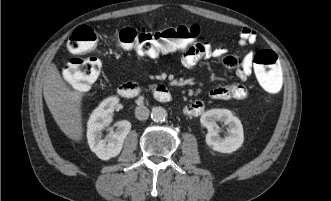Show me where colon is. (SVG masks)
Masks as SVG:
<instances>
[{"label": "colon", "mask_w": 331, "mask_h": 201, "mask_svg": "<svg viewBox=\"0 0 331 201\" xmlns=\"http://www.w3.org/2000/svg\"><path fill=\"white\" fill-rule=\"evenodd\" d=\"M200 35L198 25L178 26L159 31L141 32L121 28L111 33L112 40L126 51L143 56H158L196 44ZM97 44V33L88 26L78 27L68 40L70 53L79 55L92 51ZM256 77L265 91L277 93L282 87L283 69L278 55L272 50H260L253 57ZM101 73V62L95 57H74L64 67L63 75L77 92H85Z\"/></svg>", "instance_id": "obj_1"}]
</instances>
